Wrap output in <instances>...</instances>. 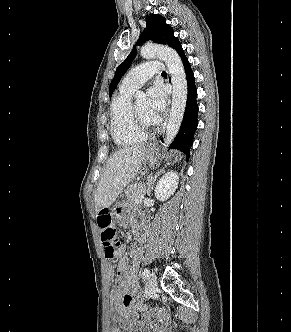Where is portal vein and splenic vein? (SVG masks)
<instances>
[{
	"mask_svg": "<svg viewBox=\"0 0 291 332\" xmlns=\"http://www.w3.org/2000/svg\"><path fill=\"white\" fill-rule=\"evenodd\" d=\"M141 200H142V198H140V199H136V200H135V203H137V204H138V203H140V202H141Z\"/></svg>",
	"mask_w": 291,
	"mask_h": 332,
	"instance_id": "obj_1",
	"label": "portal vein and splenic vein"
}]
</instances>
